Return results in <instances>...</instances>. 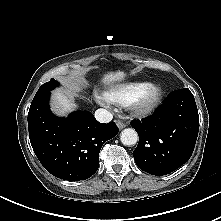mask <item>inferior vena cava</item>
I'll return each instance as SVG.
<instances>
[{"instance_id": "1", "label": "inferior vena cava", "mask_w": 221, "mask_h": 221, "mask_svg": "<svg viewBox=\"0 0 221 221\" xmlns=\"http://www.w3.org/2000/svg\"><path fill=\"white\" fill-rule=\"evenodd\" d=\"M95 118L97 121L101 122V123H108L110 121H112L113 119V115L111 112H109L108 110L106 109H97L95 111Z\"/></svg>"}]
</instances>
